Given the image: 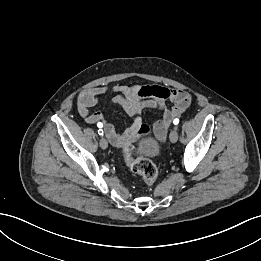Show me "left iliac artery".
Here are the masks:
<instances>
[{"label": "left iliac artery", "mask_w": 261, "mask_h": 261, "mask_svg": "<svg viewBox=\"0 0 261 261\" xmlns=\"http://www.w3.org/2000/svg\"><path fill=\"white\" fill-rule=\"evenodd\" d=\"M173 123L174 125H177L179 123V119L178 118L174 119Z\"/></svg>", "instance_id": "obj_1"}]
</instances>
